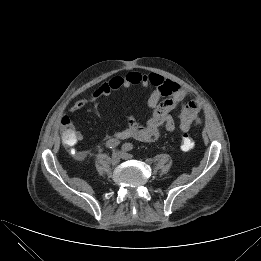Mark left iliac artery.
Listing matches in <instances>:
<instances>
[{
    "instance_id": "obj_1",
    "label": "left iliac artery",
    "mask_w": 261,
    "mask_h": 261,
    "mask_svg": "<svg viewBox=\"0 0 261 261\" xmlns=\"http://www.w3.org/2000/svg\"><path fill=\"white\" fill-rule=\"evenodd\" d=\"M133 149V145L131 143H125L122 145V150L124 151H130Z\"/></svg>"
}]
</instances>
